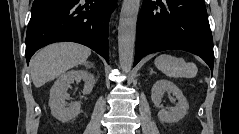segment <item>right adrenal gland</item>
Instances as JSON below:
<instances>
[{"label":"right adrenal gland","mask_w":239,"mask_h":134,"mask_svg":"<svg viewBox=\"0 0 239 134\" xmlns=\"http://www.w3.org/2000/svg\"><path fill=\"white\" fill-rule=\"evenodd\" d=\"M85 66H88V62H87V63H85ZM91 66H92V64H90V65H89V67H91Z\"/></svg>","instance_id":"obj_1"}]
</instances>
